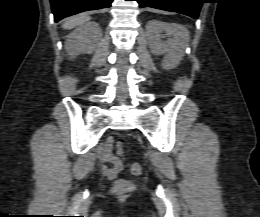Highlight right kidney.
Returning a JSON list of instances; mask_svg holds the SVG:
<instances>
[{
	"mask_svg": "<svg viewBox=\"0 0 260 217\" xmlns=\"http://www.w3.org/2000/svg\"><path fill=\"white\" fill-rule=\"evenodd\" d=\"M102 36L100 26L94 22H88L77 27L68 35L65 49L72 58L79 53H92Z\"/></svg>",
	"mask_w": 260,
	"mask_h": 217,
	"instance_id": "right-kidney-1",
	"label": "right kidney"
}]
</instances>
